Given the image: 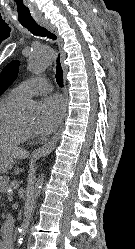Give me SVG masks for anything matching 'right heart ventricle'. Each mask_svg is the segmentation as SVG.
I'll return each instance as SVG.
<instances>
[{
    "label": "right heart ventricle",
    "instance_id": "1",
    "mask_svg": "<svg viewBox=\"0 0 135 249\" xmlns=\"http://www.w3.org/2000/svg\"><path fill=\"white\" fill-rule=\"evenodd\" d=\"M22 100L13 92L0 100V144L16 145L27 138L20 127L17 115Z\"/></svg>",
    "mask_w": 135,
    "mask_h": 249
}]
</instances>
